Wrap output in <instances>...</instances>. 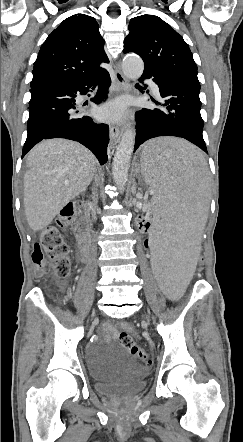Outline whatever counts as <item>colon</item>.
<instances>
[{
	"mask_svg": "<svg viewBox=\"0 0 243 442\" xmlns=\"http://www.w3.org/2000/svg\"><path fill=\"white\" fill-rule=\"evenodd\" d=\"M78 211V206L72 203L64 205L58 216V225L61 227L70 226L74 220L75 214ZM135 231L140 233V238L144 248L150 247V222L145 216L135 217ZM69 246L60 235L56 227H47L43 230L40 241L34 245L32 252V262L35 266V274L40 277L43 276L49 269V263L46 257L51 260L52 267L58 277H67L70 273L71 263L69 259ZM208 257L205 254L198 255L194 268L197 271H202L205 268V262ZM119 342L123 347L129 350L130 354L141 362L142 365H153L154 358L149 356L147 351L137 345L132 336L127 332L119 334Z\"/></svg>",
	"mask_w": 243,
	"mask_h": 442,
	"instance_id": "1",
	"label": "colon"
}]
</instances>
